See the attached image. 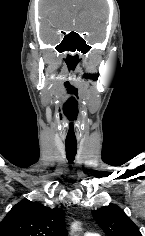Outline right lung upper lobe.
<instances>
[{
    "instance_id": "cb5924a9",
    "label": "right lung upper lobe",
    "mask_w": 145,
    "mask_h": 236,
    "mask_svg": "<svg viewBox=\"0 0 145 236\" xmlns=\"http://www.w3.org/2000/svg\"><path fill=\"white\" fill-rule=\"evenodd\" d=\"M65 212L24 200L0 222V236H66Z\"/></svg>"
}]
</instances>
